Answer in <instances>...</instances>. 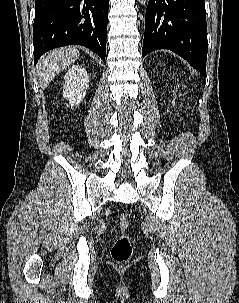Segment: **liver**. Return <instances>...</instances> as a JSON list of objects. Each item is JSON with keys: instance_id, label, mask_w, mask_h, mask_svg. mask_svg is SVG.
Returning <instances> with one entry per match:
<instances>
[{"instance_id": "obj_1", "label": "liver", "mask_w": 239, "mask_h": 303, "mask_svg": "<svg viewBox=\"0 0 239 303\" xmlns=\"http://www.w3.org/2000/svg\"><path fill=\"white\" fill-rule=\"evenodd\" d=\"M79 58L76 47L55 49L42 56L37 65L39 83L46 89L50 81Z\"/></svg>"}]
</instances>
